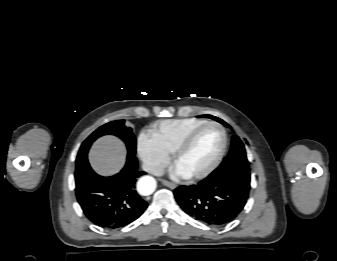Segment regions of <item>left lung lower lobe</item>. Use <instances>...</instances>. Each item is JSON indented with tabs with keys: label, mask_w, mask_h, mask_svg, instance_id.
I'll return each instance as SVG.
<instances>
[{
	"label": "left lung lower lobe",
	"mask_w": 337,
	"mask_h": 261,
	"mask_svg": "<svg viewBox=\"0 0 337 261\" xmlns=\"http://www.w3.org/2000/svg\"><path fill=\"white\" fill-rule=\"evenodd\" d=\"M174 195L185 213L212 226L233 221L249 197L240 186L222 177H207L196 185L179 186Z\"/></svg>",
	"instance_id": "0a47b994"
}]
</instances>
